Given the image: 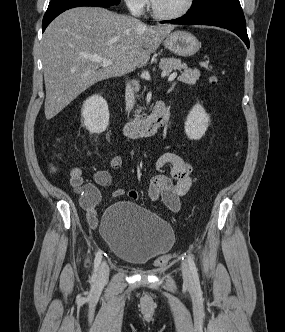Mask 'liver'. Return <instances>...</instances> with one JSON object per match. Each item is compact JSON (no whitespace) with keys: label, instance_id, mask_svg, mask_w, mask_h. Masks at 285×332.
<instances>
[{"label":"liver","instance_id":"obj_1","mask_svg":"<svg viewBox=\"0 0 285 332\" xmlns=\"http://www.w3.org/2000/svg\"><path fill=\"white\" fill-rule=\"evenodd\" d=\"M172 29L97 7L73 8L59 15L42 40L46 119L95 83L143 67ZM85 56L112 64L99 69L100 63Z\"/></svg>","mask_w":285,"mask_h":332}]
</instances>
